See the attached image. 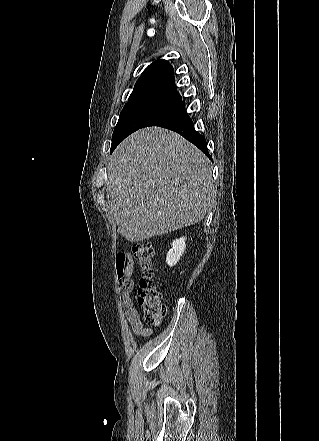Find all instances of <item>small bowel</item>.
<instances>
[{"label": "small bowel", "mask_w": 319, "mask_h": 441, "mask_svg": "<svg viewBox=\"0 0 319 441\" xmlns=\"http://www.w3.org/2000/svg\"><path fill=\"white\" fill-rule=\"evenodd\" d=\"M131 255L129 253H119L117 255V265H120L124 269L125 280L121 289V301L124 307L126 319L132 329L137 335H149L151 329L146 328L141 319L137 309L134 307L133 300L130 293L133 289V269L130 263Z\"/></svg>", "instance_id": "1"}]
</instances>
